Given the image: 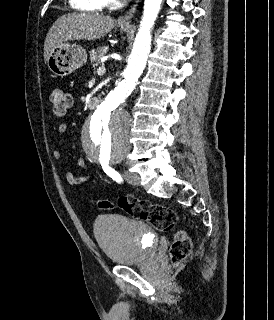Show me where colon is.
<instances>
[{"label":"colon","mask_w":274,"mask_h":320,"mask_svg":"<svg viewBox=\"0 0 274 320\" xmlns=\"http://www.w3.org/2000/svg\"><path fill=\"white\" fill-rule=\"evenodd\" d=\"M49 102L53 114L57 117L64 116L71 107L69 93L63 87H53L49 90ZM128 215L133 218L147 221L151 226L162 233L170 231L177 224V215L174 210L160 204H156L140 198L122 197L118 200ZM98 207L105 210H114L111 200L102 199ZM192 249V241L184 227L175 233V239L170 249V259L175 266H180L189 256Z\"/></svg>","instance_id":"1"}]
</instances>
